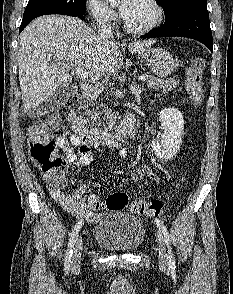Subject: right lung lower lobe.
I'll return each mask as SVG.
<instances>
[{
  "mask_svg": "<svg viewBox=\"0 0 233 294\" xmlns=\"http://www.w3.org/2000/svg\"><path fill=\"white\" fill-rule=\"evenodd\" d=\"M84 13H85V12H84ZM84 13H83V14H80V15H75V17L83 18ZM27 24H28V23H22L21 26H20L19 32H21V31L25 28V26H26Z\"/></svg>",
  "mask_w": 233,
  "mask_h": 294,
  "instance_id": "obj_1",
  "label": "right lung lower lobe"
}]
</instances>
